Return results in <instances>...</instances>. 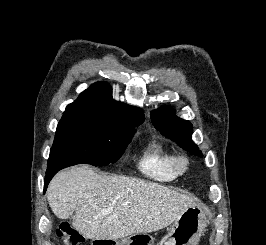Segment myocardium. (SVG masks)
<instances>
[{
	"label": "myocardium",
	"mask_w": 266,
	"mask_h": 245,
	"mask_svg": "<svg viewBox=\"0 0 266 245\" xmlns=\"http://www.w3.org/2000/svg\"><path fill=\"white\" fill-rule=\"evenodd\" d=\"M174 167L179 175H184L189 172L191 168L190 157L185 153H177L174 157Z\"/></svg>",
	"instance_id": "obj_1"
}]
</instances>
